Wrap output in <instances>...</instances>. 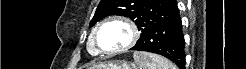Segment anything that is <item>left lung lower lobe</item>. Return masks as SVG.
<instances>
[{"instance_id":"0a47b994","label":"left lung lower lobe","mask_w":246,"mask_h":69,"mask_svg":"<svg viewBox=\"0 0 246 69\" xmlns=\"http://www.w3.org/2000/svg\"><path fill=\"white\" fill-rule=\"evenodd\" d=\"M184 35L177 9L170 16L145 30L130 50L147 51L165 56L185 69Z\"/></svg>"}]
</instances>
